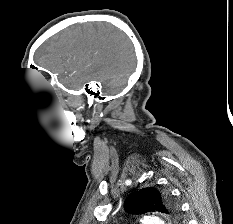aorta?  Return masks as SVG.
<instances>
[{
  "label": "aorta",
  "instance_id": "aorta-1",
  "mask_svg": "<svg viewBox=\"0 0 233 224\" xmlns=\"http://www.w3.org/2000/svg\"><path fill=\"white\" fill-rule=\"evenodd\" d=\"M143 224H164V221H162L160 218L156 216H146L142 220Z\"/></svg>",
  "mask_w": 233,
  "mask_h": 224
}]
</instances>
